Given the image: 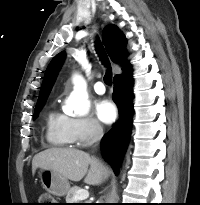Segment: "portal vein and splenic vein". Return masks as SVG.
Masks as SVG:
<instances>
[{
  "label": "portal vein and splenic vein",
  "instance_id": "portal-vein-and-splenic-vein-1",
  "mask_svg": "<svg viewBox=\"0 0 200 205\" xmlns=\"http://www.w3.org/2000/svg\"><path fill=\"white\" fill-rule=\"evenodd\" d=\"M89 197V192L87 190L80 189L74 196V200H85Z\"/></svg>",
  "mask_w": 200,
  "mask_h": 205
}]
</instances>
